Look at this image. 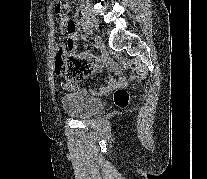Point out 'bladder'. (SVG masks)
Instances as JSON below:
<instances>
[{"label": "bladder", "instance_id": "bladder-1", "mask_svg": "<svg viewBox=\"0 0 207 179\" xmlns=\"http://www.w3.org/2000/svg\"><path fill=\"white\" fill-rule=\"evenodd\" d=\"M63 112L74 118H89L102 112L103 102L87 88H79L62 97Z\"/></svg>", "mask_w": 207, "mask_h": 179}]
</instances>
